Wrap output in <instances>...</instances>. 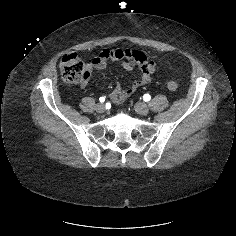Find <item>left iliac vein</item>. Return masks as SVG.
Instances as JSON below:
<instances>
[{"mask_svg": "<svg viewBox=\"0 0 236 236\" xmlns=\"http://www.w3.org/2000/svg\"><path fill=\"white\" fill-rule=\"evenodd\" d=\"M135 110L140 115H147L149 113V108L144 103H136Z\"/></svg>", "mask_w": 236, "mask_h": 236, "instance_id": "4c4485c4", "label": "left iliac vein"}]
</instances>
